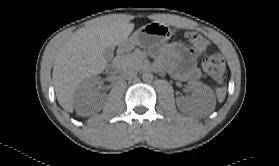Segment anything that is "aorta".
<instances>
[{
  "instance_id": "762f6f07",
  "label": "aorta",
  "mask_w": 279,
  "mask_h": 166,
  "mask_svg": "<svg viewBox=\"0 0 279 166\" xmlns=\"http://www.w3.org/2000/svg\"><path fill=\"white\" fill-rule=\"evenodd\" d=\"M142 79L144 82H151L153 80V74L150 71H145L142 74Z\"/></svg>"
}]
</instances>
